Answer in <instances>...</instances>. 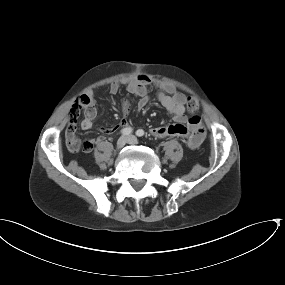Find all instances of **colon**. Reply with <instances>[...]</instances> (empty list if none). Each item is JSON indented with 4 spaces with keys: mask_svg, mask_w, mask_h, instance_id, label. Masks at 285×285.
I'll list each match as a JSON object with an SVG mask.
<instances>
[{
    "mask_svg": "<svg viewBox=\"0 0 285 285\" xmlns=\"http://www.w3.org/2000/svg\"><path fill=\"white\" fill-rule=\"evenodd\" d=\"M91 102V97L87 94H82L76 98L69 112V117L71 119L69 128H71L72 124L75 123L77 119L82 115V112L91 105ZM187 107L190 113H196L198 111V105L194 98L189 99ZM73 138L78 147H80L82 142L74 136Z\"/></svg>",
    "mask_w": 285,
    "mask_h": 285,
    "instance_id": "colon-1",
    "label": "colon"
}]
</instances>
